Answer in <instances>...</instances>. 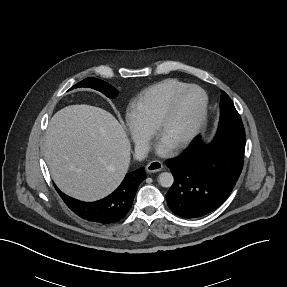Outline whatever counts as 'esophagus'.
<instances>
[{"instance_id": "esophagus-1", "label": "esophagus", "mask_w": 287, "mask_h": 287, "mask_svg": "<svg viewBox=\"0 0 287 287\" xmlns=\"http://www.w3.org/2000/svg\"><path fill=\"white\" fill-rule=\"evenodd\" d=\"M163 168V164L161 161L159 160H153L151 161L147 166H146V170L149 173H154V172H158Z\"/></svg>"}]
</instances>
